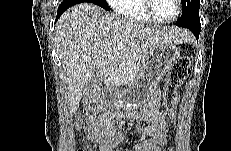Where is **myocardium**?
Instances as JSON below:
<instances>
[{
    "mask_svg": "<svg viewBox=\"0 0 231 151\" xmlns=\"http://www.w3.org/2000/svg\"><path fill=\"white\" fill-rule=\"evenodd\" d=\"M176 13L174 14V16L170 19L167 20H163L158 18L154 12H153V4H152V0H143V10L145 12V14L155 23L158 24H170L172 22H174L181 14L182 11V1L181 0H176Z\"/></svg>",
    "mask_w": 231,
    "mask_h": 151,
    "instance_id": "obj_1",
    "label": "myocardium"
}]
</instances>
